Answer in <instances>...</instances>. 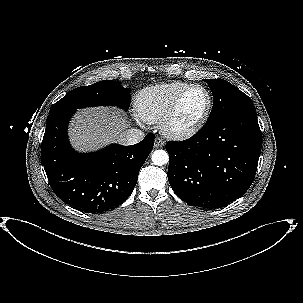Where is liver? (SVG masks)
Wrapping results in <instances>:
<instances>
[{"label": "liver", "mask_w": 303, "mask_h": 303, "mask_svg": "<svg viewBox=\"0 0 303 303\" xmlns=\"http://www.w3.org/2000/svg\"><path fill=\"white\" fill-rule=\"evenodd\" d=\"M126 117L120 110L94 107L80 110L69 128L70 141L81 151L92 150L111 142H121L127 128Z\"/></svg>", "instance_id": "1"}]
</instances>
